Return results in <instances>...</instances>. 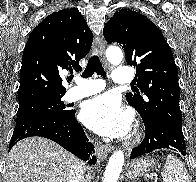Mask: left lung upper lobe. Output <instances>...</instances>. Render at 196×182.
<instances>
[{"instance_id":"5c2ea615","label":"left lung upper lobe","mask_w":196,"mask_h":182,"mask_svg":"<svg viewBox=\"0 0 196 182\" xmlns=\"http://www.w3.org/2000/svg\"><path fill=\"white\" fill-rule=\"evenodd\" d=\"M103 34L108 43L122 46L126 63L137 69V86L145 96L128 93L127 102L145 122L157 118L182 128L177 68L157 26L144 15L123 9L107 21Z\"/></svg>"}]
</instances>
